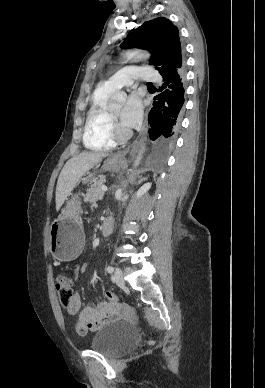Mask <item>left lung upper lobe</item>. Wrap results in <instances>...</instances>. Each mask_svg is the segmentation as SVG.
I'll use <instances>...</instances> for the list:
<instances>
[{
  "label": "left lung upper lobe",
  "mask_w": 265,
  "mask_h": 388,
  "mask_svg": "<svg viewBox=\"0 0 265 388\" xmlns=\"http://www.w3.org/2000/svg\"><path fill=\"white\" fill-rule=\"evenodd\" d=\"M121 47H137L151 51L149 63L154 65L161 75L184 66L178 28L164 17L145 22L128 35Z\"/></svg>",
  "instance_id": "left-lung-upper-lobe-1"
}]
</instances>
